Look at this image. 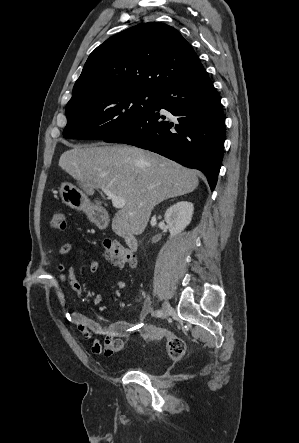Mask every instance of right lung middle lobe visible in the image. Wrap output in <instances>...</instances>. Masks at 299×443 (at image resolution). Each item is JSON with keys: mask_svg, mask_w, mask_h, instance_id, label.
I'll return each mask as SVG.
<instances>
[{"mask_svg": "<svg viewBox=\"0 0 299 443\" xmlns=\"http://www.w3.org/2000/svg\"><path fill=\"white\" fill-rule=\"evenodd\" d=\"M156 92L143 90L109 92L67 104L65 138L102 140L110 137L133 119L150 111Z\"/></svg>", "mask_w": 299, "mask_h": 443, "instance_id": "dd1d6c3e", "label": "right lung middle lobe"}]
</instances>
